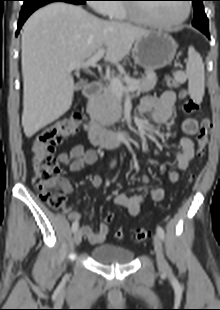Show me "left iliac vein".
Masks as SVG:
<instances>
[{"instance_id":"4c4485c4","label":"left iliac vein","mask_w":220,"mask_h":310,"mask_svg":"<svg viewBox=\"0 0 220 310\" xmlns=\"http://www.w3.org/2000/svg\"><path fill=\"white\" fill-rule=\"evenodd\" d=\"M153 245L156 252V261L159 271L163 274L169 273V265L164 257L162 242L158 234L153 237Z\"/></svg>"}]
</instances>
